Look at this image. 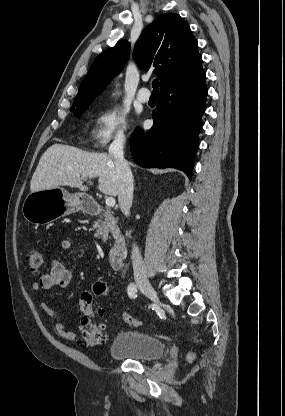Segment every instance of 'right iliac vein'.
<instances>
[{"instance_id": "63e3f726", "label": "right iliac vein", "mask_w": 285, "mask_h": 416, "mask_svg": "<svg viewBox=\"0 0 285 416\" xmlns=\"http://www.w3.org/2000/svg\"><path fill=\"white\" fill-rule=\"evenodd\" d=\"M136 283L140 287L141 291L152 300L156 305H160L157 292L152 287L151 283L146 279L136 278Z\"/></svg>"}]
</instances>
